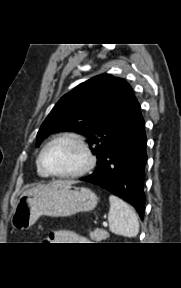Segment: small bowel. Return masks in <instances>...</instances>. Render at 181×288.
Here are the masks:
<instances>
[{
  "mask_svg": "<svg viewBox=\"0 0 181 288\" xmlns=\"http://www.w3.org/2000/svg\"><path fill=\"white\" fill-rule=\"evenodd\" d=\"M48 243H85L86 238L68 230L51 232L47 239Z\"/></svg>",
  "mask_w": 181,
  "mask_h": 288,
  "instance_id": "obj_1",
  "label": "small bowel"
}]
</instances>
